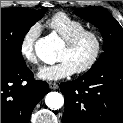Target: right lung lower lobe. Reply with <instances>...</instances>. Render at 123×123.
Listing matches in <instances>:
<instances>
[{
  "instance_id": "right-lung-lower-lobe-1",
  "label": "right lung lower lobe",
  "mask_w": 123,
  "mask_h": 123,
  "mask_svg": "<svg viewBox=\"0 0 123 123\" xmlns=\"http://www.w3.org/2000/svg\"><path fill=\"white\" fill-rule=\"evenodd\" d=\"M24 64L1 61V123H29L32 110L49 92Z\"/></svg>"
}]
</instances>
